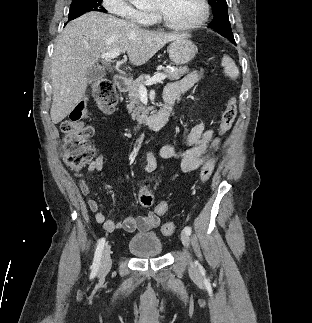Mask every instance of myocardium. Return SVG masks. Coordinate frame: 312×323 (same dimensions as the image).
Here are the masks:
<instances>
[{
    "label": "myocardium",
    "instance_id": "1",
    "mask_svg": "<svg viewBox=\"0 0 312 323\" xmlns=\"http://www.w3.org/2000/svg\"><path fill=\"white\" fill-rule=\"evenodd\" d=\"M201 8L199 18L193 20H171L165 13L164 8H157L156 19L160 25H168L170 31H199L203 21H209L211 15V4L209 0H198Z\"/></svg>",
    "mask_w": 312,
    "mask_h": 323
}]
</instances>
